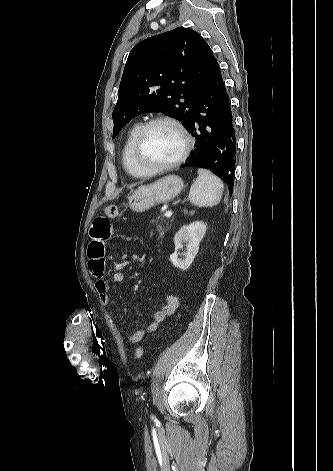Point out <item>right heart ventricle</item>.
Here are the masks:
<instances>
[{
    "label": "right heart ventricle",
    "mask_w": 333,
    "mask_h": 471,
    "mask_svg": "<svg viewBox=\"0 0 333 471\" xmlns=\"http://www.w3.org/2000/svg\"><path fill=\"white\" fill-rule=\"evenodd\" d=\"M141 126V123H134L132 126L129 127L125 134L121 151V161L124 170L130 176L135 178L146 176L139 168H137L132 156L133 143Z\"/></svg>",
    "instance_id": "e07e8e85"
}]
</instances>
